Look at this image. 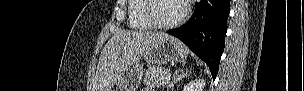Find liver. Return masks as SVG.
<instances>
[{"label": "liver", "mask_w": 304, "mask_h": 91, "mask_svg": "<svg viewBox=\"0 0 304 91\" xmlns=\"http://www.w3.org/2000/svg\"><path fill=\"white\" fill-rule=\"evenodd\" d=\"M166 37L169 35L162 32L120 31L114 34L101 52L93 91H111L122 70L145 57L155 43Z\"/></svg>", "instance_id": "1"}]
</instances>
